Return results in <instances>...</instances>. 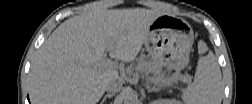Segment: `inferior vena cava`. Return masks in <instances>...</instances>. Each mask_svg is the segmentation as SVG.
<instances>
[{"label":"inferior vena cava","mask_w":252,"mask_h":104,"mask_svg":"<svg viewBox=\"0 0 252 104\" xmlns=\"http://www.w3.org/2000/svg\"><path fill=\"white\" fill-rule=\"evenodd\" d=\"M105 89L107 92L115 94L122 89V83L118 80H112L107 83Z\"/></svg>","instance_id":"602c4592"}]
</instances>
